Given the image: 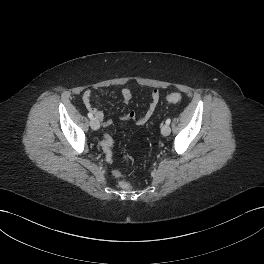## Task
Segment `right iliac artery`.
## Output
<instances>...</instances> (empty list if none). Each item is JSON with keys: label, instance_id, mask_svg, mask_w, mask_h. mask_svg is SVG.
Returning <instances> with one entry per match:
<instances>
[{"label": "right iliac artery", "instance_id": "1", "mask_svg": "<svg viewBox=\"0 0 264 264\" xmlns=\"http://www.w3.org/2000/svg\"><path fill=\"white\" fill-rule=\"evenodd\" d=\"M88 117H89L90 119H92V118H93V115H92L91 113H88Z\"/></svg>", "mask_w": 264, "mask_h": 264}]
</instances>
